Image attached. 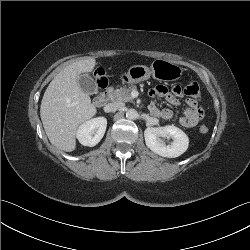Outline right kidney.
<instances>
[{"mask_svg": "<svg viewBox=\"0 0 250 250\" xmlns=\"http://www.w3.org/2000/svg\"><path fill=\"white\" fill-rule=\"evenodd\" d=\"M107 127L104 117H96L82 123L76 132V137L84 146L93 147L103 138Z\"/></svg>", "mask_w": 250, "mask_h": 250, "instance_id": "ca27d5eb", "label": "right kidney"}]
</instances>
